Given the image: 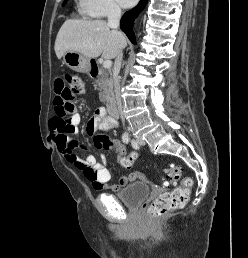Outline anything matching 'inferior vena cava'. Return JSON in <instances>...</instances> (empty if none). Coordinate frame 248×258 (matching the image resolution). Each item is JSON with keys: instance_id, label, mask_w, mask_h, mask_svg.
I'll use <instances>...</instances> for the list:
<instances>
[{"instance_id": "602c4592", "label": "inferior vena cava", "mask_w": 248, "mask_h": 258, "mask_svg": "<svg viewBox=\"0 0 248 258\" xmlns=\"http://www.w3.org/2000/svg\"><path fill=\"white\" fill-rule=\"evenodd\" d=\"M120 18H121L120 7L115 3H111L108 10V26L112 29H118ZM122 57H123L122 48H120L115 58V63L113 68V82H114L116 104H117L122 122L124 123L125 119H124V113H123V106H122L121 93H120V80H119V72L121 68Z\"/></svg>"}]
</instances>
